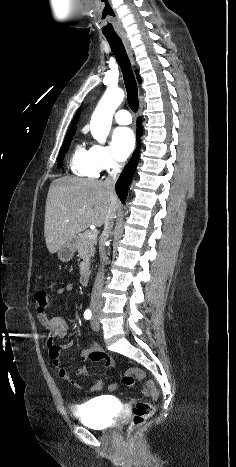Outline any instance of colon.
<instances>
[{
  "mask_svg": "<svg viewBox=\"0 0 236 467\" xmlns=\"http://www.w3.org/2000/svg\"><path fill=\"white\" fill-rule=\"evenodd\" d=\"M35 302L37 311L40 313L45 312L51 304L50 295L45 290H37L35 292ZM91 358L94 360H103L105 358V354L102 352H94L91 355ZM122 380L124 385L127 387H132L136 380H141L145 383L147 390L153 398H156L158 395L153 381L149 379L146 373L140 368H128L124 373ZM153 413L154 408L152 404L144 401L136 402L132 409V419L128 426L127 434H130L134 428L143 425L153 415Z\"/></svg>",
  "mask_w": 236,
  "mask_h": 467,
  "instance_id": "5ec220e1",
  "label": "colon"
}]
</instances>
